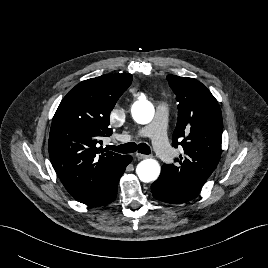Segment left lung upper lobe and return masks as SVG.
Returning a JSON list of instances; mask_svg holds the SVG:
<instances>
[{
	"label": "left lung upper lobe",
	"mask_w": 268,
	"mask_h": 268,
	"mask_svg": "<svg viewBox=\"0 0 268 268\" xmlns=\"http://www.w3.org/2000/svg\"><path fill=\"white\" fill-rule=\"evenodd\" d=\"M167 80L179 102L172 146L181 145L184 154L175 160L176 165L164 164L161 176L177 187L199 194L221 155L223 121L220 106L196 79L168 75Z\"/></svg>",
	"instance_id": "5c2ea615"
}]
</instances>
